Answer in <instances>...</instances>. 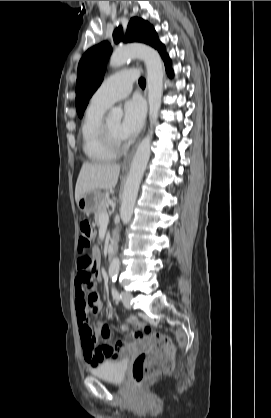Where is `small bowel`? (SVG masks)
I'll return each mask as SVG.
<instances>
[{"label":"small bowel","instance_id":"c3829d8e","mask_svg":"<svg viewBox=\"0 0 271 418\" xmlns=\"http://www.w3.org/2000/svg\"><path fill=\"white\" fill-rule=\"evenodd\" d=\"M100 252L94 249L92 258L90 255L76 257V277L75 284V310L76 320L79 325V334L85 361L95 367L105 361L115 360L120 355L130 350V345L126 341H119L112 344L110 341L109 327L98 322L91 327L88 312L99 313L102 309V302L94 285L97 279L101 278L99 269ZM89 329L90 333H85ZM128 336H133L131 330H127ZM103 339L101 344L99 338Z\"/></svg>","mask_w":271,"mask_h":418}]
</instances>
